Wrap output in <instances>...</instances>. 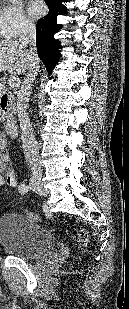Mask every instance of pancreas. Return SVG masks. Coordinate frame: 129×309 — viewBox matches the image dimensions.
<instances>
[{
    "label": "pancreas",
    "mask_w": 129,
    "mask_h": 309,
    "mask_svg": "<svg viewBox=\"0 0 129 309\" xmlns=\"http://www.w3.org/2000/svg\"><path fill=\"white\" fill-rule=\"evenodd\" d=\"M7 89H8V88H6L5 83L1 82V83H0V93H2V92H4V91H7ZM0 116H1V117H0V120H1V119H2V120L5 119L4 115H2L1 112H0Z\"/></svg>",
    "instance_id": "cf45deb5"
}]
</instances>
